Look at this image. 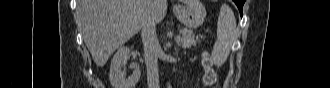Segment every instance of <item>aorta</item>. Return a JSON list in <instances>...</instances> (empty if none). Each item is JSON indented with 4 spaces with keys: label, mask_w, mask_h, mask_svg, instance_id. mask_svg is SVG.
Wrapping results in <instances>:
<instances>
[{
    "label": "aorta",
    "mask_w": 330,
    "mask_h": 88,
    "mask_svg": "<svg viewBox=\"0 0 330 88\" xmlns=\"http://www.w3.org/2000/svg\"><path fill=\"white\" fill-rule=\"evenodd\" d=\"M167 88H171V84L169 82L167 83Z\"/></svg>",
    "instance_id": "762f6f07"
}]
</instances>
